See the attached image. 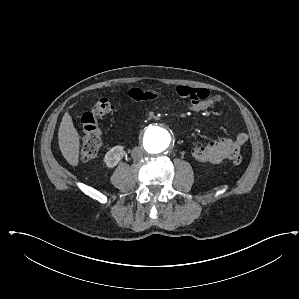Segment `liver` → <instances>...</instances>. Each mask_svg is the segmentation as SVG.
Listing matches in <instances>:
<instances>
[{"label": "liver", "mask_w": 299, "mask_h": 299, "mask_svg": "<svg viewBox=\"0 0 299 299\" xmlns=\"http://www.w3.org/2000/svg\"><path fill=\"white\" fill-rule=\"evenodd\" d=\"M58 143L66 161L72 166H77L79 163L80 136L68 112H65L60 123Z\"/></svg>", "instance_id": "liver-1"}]
</instances>
